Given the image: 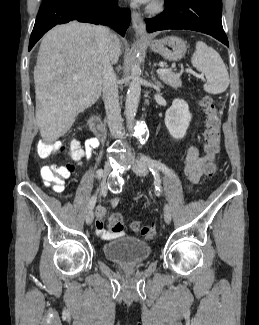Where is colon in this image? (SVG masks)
<instances>
[{
	"instance_id": "obj_1",
	"label": "colon",
	"mask_w": 259,
	"mask_h": 325,
	"mask_svg": "<svg viewBox=\"0 0 259 325\" xmlns=\"http://www.w3.org/2000/svg\"><path fill=\"white\" fill-rule=\"evenodd\" d=\"M201 106L205 113V133H204V150L206 154H215L219 149L220 142V119L218 116L216 105L213 99L205 96L201 100ZM64 149L60 141H40L37 145V152L42 158H49L55 153ZM69 156L75 160L81 154L80 146L76 141L72 142L68 149ZM72 164L62 166H50L41 172V176L45 185L50 186L56 192L63 190L65 179H67L73 172ZM216 171L214 163H208L205 167V174L212 176ZM108 228L112 233L119 234L123 231L124 222L121 214H113L108 220ZM131 228L135 232H139L146 240H151L155 236V229L153 226L144 225L140 221H133Z\"/></svg>"
}]
</instances>
